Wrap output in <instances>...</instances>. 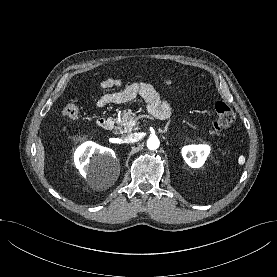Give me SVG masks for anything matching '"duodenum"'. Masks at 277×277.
<instances>
[{
  "mask_svg": "<svg viewBox=\"0 0 277 277\" xmlns=\"http://www.w3.org/2000/svg\"><path fill=\"white\" fill-rule=\"evenodd\" d=\"M97 124L99 127H101L102 129H105V130H109L113 126L112 120L107 117H100L97 120Z\"/></svg>",
  "mask_w": 277,
  "mask_h": 277,
  "instance_id": "1",
  "label": "duodenum"
}]
</instances>
